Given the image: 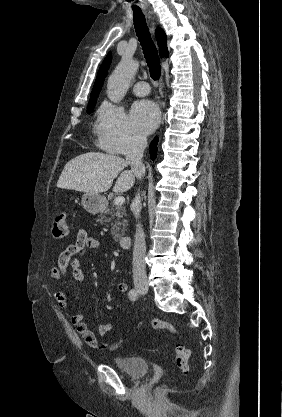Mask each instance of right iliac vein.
<instances>
[{"instance_id":"obj_1","label":"right iliac vein","mask_w":282,"mask_h":417,"mask_svg":"<svg viewBox=\"0 0 282 417\" xmlns=\"http://www.w3.org/2000/svg\"><path fill=\"white\" fill-rule=\"evenodd\" d=\"M136 289H137L139 292H146V291H147V289H148V287H147V285H146V284H144V283H137V284H136Z\"/></svg>"}]
</instances>
